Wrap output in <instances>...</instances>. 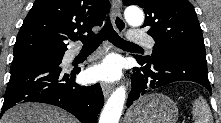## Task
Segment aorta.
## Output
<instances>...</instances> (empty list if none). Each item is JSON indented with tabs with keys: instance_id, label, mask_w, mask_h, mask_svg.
I'll return each mask as SVG.
<instances>
[{
	"instance_id": "aorta-1",
	"label": "aorta",
	"mask_w": 221,
	"mask_h": 123,
	"mask_svg": "<svg viewBox=\"0 0 221 123\" xmlns=\"http://www.w3.org/2000/svg\"><path fill=\"white\" fill-rule=\"evenodd\" d=\"M127 23L140 26L144 21L143 12L138 7H128L124 12ZM126 99V88L118 87L106 102L99 119V123H119V119Z\"/></svg>"
}]
</instances>
